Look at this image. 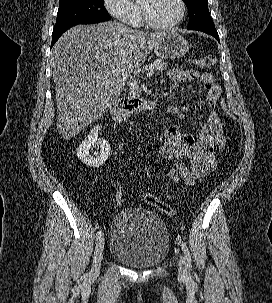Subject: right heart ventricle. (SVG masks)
Masks as SVG:
<instances>
[{
	"label": "right heart ventricle",
	"mask_w": 272,
	"mask_h": 303,
	"mask_svg": "<svg viewBox=\"0 0 272 303\" xmlns=\"http://www.w3.org/2000/svg\"><path fill=\"white\" fill-rule=\"evenodd\" d=\"M134 11H135V20H136L135 25H138L141 23L142 20L139 3L134 4Z\"/></svg>",
	"instance_id": "obj_1"
}]
</instances>
